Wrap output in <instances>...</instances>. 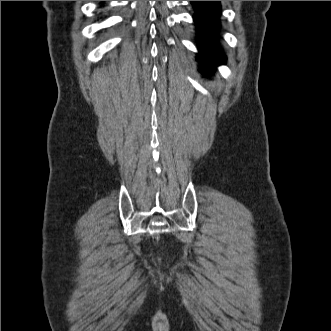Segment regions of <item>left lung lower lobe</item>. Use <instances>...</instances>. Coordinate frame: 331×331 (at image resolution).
Returning <instances> with one entry per match:
<instances>
[{
	"mask_svg": "<svg viewBox=\"0 0 331 331\" xmlns=\"http://www.w3.org/2000/svg\"><path fill=\"white\" fill-rule=\"evenodd\" d=\"M194 9V21L199 32V38L203 41V47L200 49L201 54L198 60L205 63L202 71L205 75L208 67L216 66L221 63L222 55L216 50L214 35L219 29L220 2L219 1H191Z\"/></svg>",
	"mask_w": 331,
	"mask_h": 331,
	"instance_id": "1",
	"label": "left lung lower lobe"
}]
</instances>
